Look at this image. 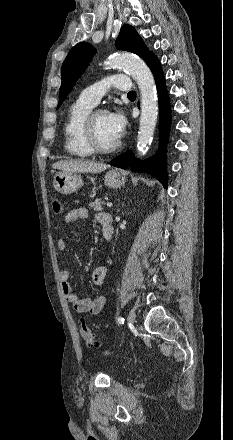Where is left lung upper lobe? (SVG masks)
<instances>
[{
    "label": "left lung upper lobe",
    "mask_w": 233,
    "mask_h": 440,
    "mask_svg": "<svg viewBox=\"0 0 233 440\" xmlns=\"http://www.w3.org/2000/svg\"><path fill=\"white\" fill-rule=\"evenodd\" d=\"M116 46L118 49L137 54L146 63L154 55L148 50L134 27L130 25L122 26L116 40ZM94 53V47L86 42L78 43L70 50L61 68L62 84L58 107L71 91L75 81L79 78L81 72L84 71Z\"/></svg>",
    "instance_id": "5c2ea615"
}]
</instances>
